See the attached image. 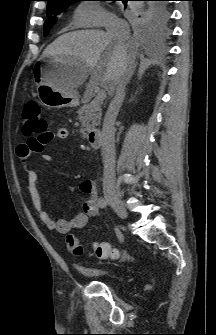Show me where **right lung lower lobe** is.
I'll return each mask as SVG.
<instances>
[{"mask_svg":"<svg viewBox=\"0 0 216 335\" xmlns=\"http://www.w3.org/2000/svg\"><path fill=\"white\" fill-rule=\"evenodd\" d=\"M143 1H147L146 5H149L154 2V1H149V0H143ZM122 2L124 3L125 6L127 5V1L123 0Z\"/></svg>","mask_w":216,"mask_h":335,"instance_id":"obj_1","label":"right lung lower lobe"}]
</instances>
